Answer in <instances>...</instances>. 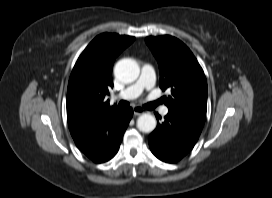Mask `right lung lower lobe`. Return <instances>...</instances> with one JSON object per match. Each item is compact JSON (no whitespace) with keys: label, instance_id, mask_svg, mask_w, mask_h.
I'll list each match as a JSON object with an SVG mask.
<instances>
[{"label":"right lung lower lobe","instance_id":"98d812e1","mask_svg":"<svg viewBox=\"0 0 272 198\" xmlns=\"http://www.w3.org/2000/svg\"><path fill=\"white\" fill-rule=\"evenodd\" d=\"M133 109L115 108L98 123L73 138L77 147L92 161L102 163L117 153Z\"/></svg>","mask_w":272,"mask_h":198}]
</instances>
